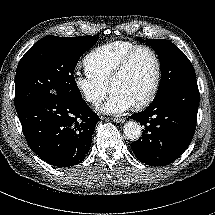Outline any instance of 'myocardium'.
Instances as JSON below:
<instances>
[{
  "label": "myocardium",
  "mask_w": 215,
  "mask_h": 215,
  "mask_svg": "<svg viewBox=\"0 0 215 215\" xmlns=\"http://www.w3.org/2000/svg\"><path fill=\"white\" fill-rule=\"evenodd\" d=\"M140 50H146L152 55L155 62V74L152 85L145 98L141 102L132 105V109L135 111L147 108L152 103L158 91L162 75V64L158 53L149 45L141 44L134 46L119 59L108 81V89L110 90L111 84L123 74L132 57Z\"/></svg>",
  "instance_id": "f54148a6"
}]
</instances>
